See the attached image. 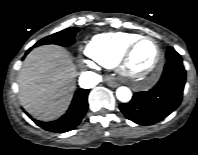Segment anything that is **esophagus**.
<instances>
[{
    "label": "esophagus",
    "mask_w": 198,
    "mask_h": 155,
    "mask_svg": "<svg viewBox=\"0 0 198 155\" xmlns=\"http://www.w3.org/2000/svg\"><path fill=\"white\" fill-rule=\"evenodd\" d=\"M105 81L109 87L115 88L118 86V83L111 77H106Z\"/></svg>",
    "instance_id": "1"
}]
</instances>
